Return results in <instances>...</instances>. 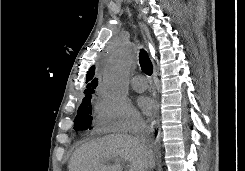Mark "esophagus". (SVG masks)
Masks as SVG:
<instances>
[{"label": "esophagus", "instance_id": "1", "mask_svg": "<svg viewBox=\"0 0 245 171\" xmlns=\"http://www.w3.org/2000/svg\"><path fill=\"white\" fill-rule=\"evenodd\" d=\"M152 64H153V81H154V85H155V88L158 89V69H157V63H156V59L153 57V54H152Z\"/></svg>", "mask_w": 245, "mask_h": 171}]
</instances>
